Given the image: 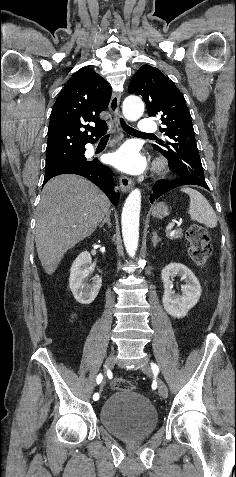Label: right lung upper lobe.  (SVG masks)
Returning <instances> with one entry per match:
<instances>
[{
	"instance_id": "1",
	"label": "right lung upper lobe",
	"mask_w": 236,
	"mask_h": 477,
	"mask_svg": "<svg viewBox=\"0 0 236 477\" xmlns=\"http://www.w3.org/2000/svg\"><path fill=\"white\" fill-rule=\"evenodd\" d=\"M110 98L109 84L94 70L83 67L72 75L51 112L46 165L55 167L60 161L85 151L87 143L95 142L106 132L107 124L99 114L106 110ZM90 122L95 126H90Z\"/></svg>"
}]
</instances>
